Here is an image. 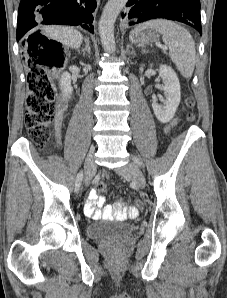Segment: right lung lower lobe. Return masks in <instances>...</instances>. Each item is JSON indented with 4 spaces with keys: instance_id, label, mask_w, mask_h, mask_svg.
Here are the masks:
<instances>
[{
    "instance_id": "obj_1",
    "label": "right lung lower lobe",
    "mask_w": 227,
    "mask_h": 298,
    "mask_svg": "<svg viewBox=\"0 0 227 298\" xmlns=\"http://www.w3.org/2000/svg\"><path fill=\"white\" fill-rule=\"evenodd\" d=\"M96 0H21L17 20V41L40 24L81 26L91 33Z\"/></svg>"
}]
</instances>
